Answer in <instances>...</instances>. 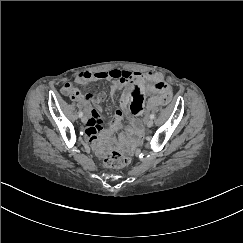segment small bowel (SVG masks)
<instances>
[{
	"instance_id": "1",
	"label": "small bowel",
	"mask_w": 243,
	"mask_h": 243,
	"mask_svg": "<svg viewBox=\"0 0 243 243\" xmlns=\"http://www.w3.org/2000/svg\"><path fill=\"white\" fill-rule=\"evenodd\" d=\"M108 79L112 81V89L119 90L126 86L127 90L124 98L129 101V110L133 115L141 114L144 111H151L156 107L163 105L164 98H170L172 88L163 80L160 73L111 69L100 72H81L75 77V82L79 85H86L94 80ZM76 88L72 83L67 82L62 87V93L69 95L72 99L78 101L93 102L98 104L99 99L93 94L82 95L79 91L74 92ZM151 95V96H150ZM150 96V97H148ZM122 117V112L117 111L114 120L118 121ZM103 119L97 109H92L87 117L84 133L93 143H97L98 136L102 132Z\"/></svg>"
}]
</instances>
